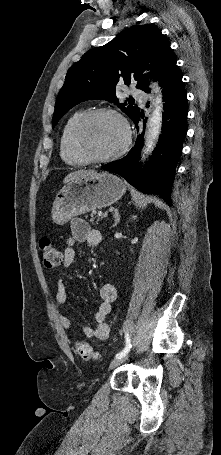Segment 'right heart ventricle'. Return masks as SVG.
<instances>
[{
    "instance_id": "right-heart-ventricle-1",
    "label": "right heart ventricle",
    "mask_w": 221,
    "mask_h": 455,
    "mask_svg": "<svg viewBox=\"0 0 221 455\" xmlns=\"http://www.w3.org/2000/svg\"><path fill=\"white\" fill-rule=\"evenodd\" d=\"M84 111L75 112L65 123L61 139H60V153L62 159L72 166H83L88 162L80 156L73 145V129L77 121L84 114Z\"/></svg>"
}]
</instances>
